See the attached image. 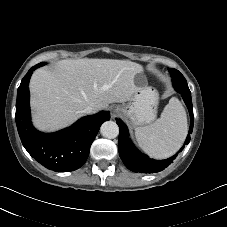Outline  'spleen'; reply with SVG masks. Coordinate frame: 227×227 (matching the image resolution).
<instances>
[{
    "mask_svg": "<svg viewBox=\"0 0 227 227\" xmlns=\"http://www.w3.org/2000/svg\"><path fill=\"white\" fill-rule=\"evenodd\" d=\"M188 131L186 112L173 97L154 123L137 127L135 137L139 146L150 156L163 159L173 155L184 142Z\"/></svg>",
    "mask_w": 227,
    "mask_h": 227,
    "instance_id": "obj_1",
    "label": "spleen"
}]
</instances>
